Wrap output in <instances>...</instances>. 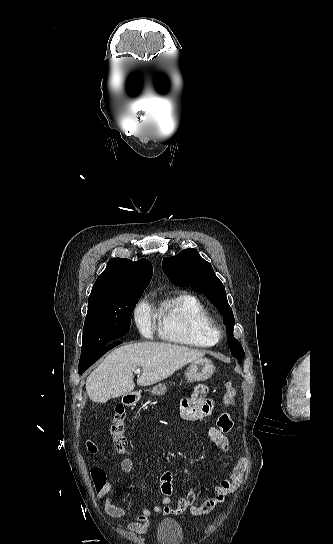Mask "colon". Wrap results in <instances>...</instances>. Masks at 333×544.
Segmentation results:
<instances>
[{"label": "colon", "instance_id": "1", "mask_svg": "<svg viewBox=\"0 0 333 544\" xmlns=\"http://www.w3.org/2000/svg\"><path fill=\"white\" fill-rule=\"evenodd\" d=\"M224 385L225 392L223 397V403L225 406H229L232 404L236 396V390L229 381H225ZM110 433L116 451L119 454L126 453L128 449V442L125 435V412L122 407H117L115 410V413L111 420ZM89 449L91 451L95 450L92 445L89 446ZM91 477L97 490L102 488L106 483V474L102 468H92Z\"/></svg>", "mask_w": 333, "mask_h": 544}]
</instances>
